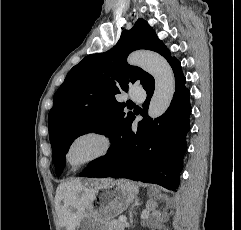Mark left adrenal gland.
<instances>
[{
  "instance_id": "obj_1",
  "label": "left adrenal gland",
  "mask_w": 241,
  "mask_h": 230,
  "mask_svg": "<svg viewBox=\"0 0 241 230\" xmlns=\"http://www.w3.org/2000/svg\"><path fill=\"white\" fill-rule=\"evenodd\" d=\"M140 205V202H139V199H136L135 200V203L133 204L132 208L136 207V206H139ZM129 215H130V220H132V212L130 211L129 212ZM132 222V221H131Z\"/></svg>"
}]
</instances>
